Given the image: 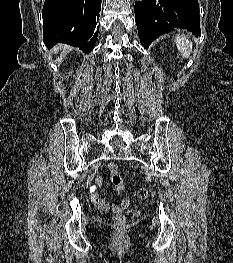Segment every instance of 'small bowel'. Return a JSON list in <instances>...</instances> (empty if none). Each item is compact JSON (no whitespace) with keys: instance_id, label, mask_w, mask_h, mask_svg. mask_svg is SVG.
<instances>
[{"instance_id":"1","label":"small bowel","mask_w":233,"mask_h":263,"mask_svg":"<svg viewBox=\"0 0 233 263\" xmlns=\"http://www.w3.org/2000/svg\"><path fill=\"white\" fill-rule=\"evenodd\" d=\"M102 182H103L102 177L99 176L96 178V184L97 185H101ZM116 190L118 192L122 191V190L118 189L117 187H116ZM93 196H94L93 197L94 203L96 204V206L99 209H101L103 211H108L109 209H112V210L117 211V212H122V211L126 210L130 204V202L127 198L123 199L119 204H111L107 200H105L104 198L100 197L98 195V193H96V192L93 194Z\"/></svg>"}]
</instances>
